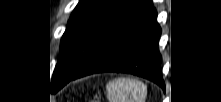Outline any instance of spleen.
<instances>
[{"instance_id":"3e777b00","label":"spleen","mask_w":221,"mask_h":102,"mask_svg":"<svg viewBox=\"0 0 221 102\" xmlns=\"http://www.w3.org/2000/svg\"><path fill=\"white\" fill-rule=\"evenodd\" d=\"M109 102H145L146 85L131 78H116L106 85Z\"/></svg>"}]
</instances>
